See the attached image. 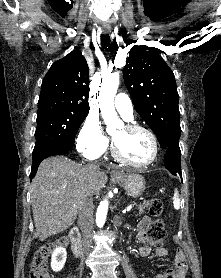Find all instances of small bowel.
<instances>
[{"label": "small bowel", "instance_id": "obj_1", "mask_svg": "<svg viewBox=\"0 0 221 278\" xmlns=\"http://www.w3.org/2000/svg\"><path fill=\"white\" fill-rule=\"evenodd\" d=\"M150 218L144 216L137 226V240L142 244L139 248V255L146 257L151 254V248L148 245V229L150 226ZM156 256L165 258L168 255L166 248L159 246L155 249ZM187 271V263L185 255L182 251H177L175 254V269L171 274H158L154 278H185Z\"/></svg>", "mask_w": 221, "mask_h": 278}]
</instances>
